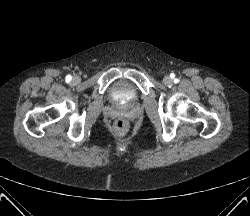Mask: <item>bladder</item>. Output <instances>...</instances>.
I'll use <instances>...</instances> for the list:
<instances>
[{
    "label": "bladder",
    "instance_id": "obj_1",
    "mask_svg": "<svg viewBox=\"0 0 250 216\" xmlns=\"http://www.w3.org/2000/svg\"><path fill=\"white\" fill-rule=\"evenodd\" d=\"M111 97L118 104L126 105L137 98V93L128 81L118 80L111 88Z\"/></svg>",
    "mask_w": 250,
    "mask_h": 216
}]
</instances>
